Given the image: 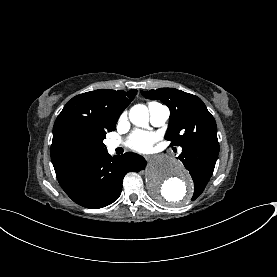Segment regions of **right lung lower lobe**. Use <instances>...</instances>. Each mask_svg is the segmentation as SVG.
Segmentation results:
<instances>
[{"label": "right lung lower lobe", "instance_id": "1", "mask_svg": "<svg viewBox=\"0 0 277 277\" xmlns=\"http://www.w3.org/2000/svg\"><path fill=\"white\" fill-rule=\"evenodd\" d=\"M146 160L137 154L111 157L107 150L55 170L59 184L77 204L97 209L105 207L121 194L124 176L139 172Z\"/></svg>", "mask_w": 277, "mask_h": 277}]
</instances>
